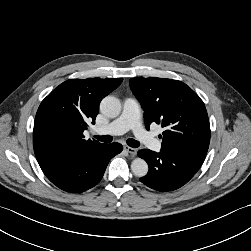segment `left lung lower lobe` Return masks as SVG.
I'll list each match as a JSON object with an SVG mask.
<instances>
[{"label": "left lung lower lobe", "instance_id": "1", "mask_svg": "<svg viewBox=\"0 0 251 251\" xmlns=\"http://www.w3.org/2000/svg\"><path fill=\"white\" fill-rule=\"evenodd\" d=\"M138 156L149 166L142 183L157 191L167 192L185 185L199 170L204 158L191 152L161 149L159 153L149 149L138 151Z\"/></svg>", "mask_w": 251, "mask_h": 251}]
</instances>
